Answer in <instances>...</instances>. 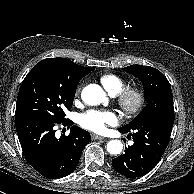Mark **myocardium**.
I'll list each match as a JSON object with an SVG mask.
<instances>
[{"label": "myocardium", "instance_id": "myocardium-1", "mask_svg": "<svg viewBox=\"0 0 194 194\" xmlns=\"http://www.w3.org/2000/svg\"><path fill=\"white\" fill-rule=\"evenodd\" d=\"M116 103L127 115L137 114L143 107L146 99L145 92L139 87H126L115 95Z\"/></svg>", "mask_w": 194, "mask_h": 194}]
</instances>
